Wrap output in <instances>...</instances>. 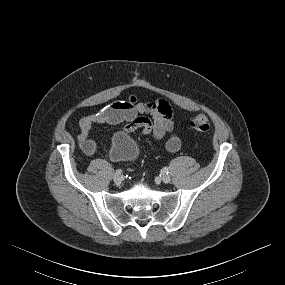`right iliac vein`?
Listing matches in <instances>:
<instances>
[{
  "instance_id": "63e3f726",
  "label": "right iliac vein",
  "mask_w": 285,
  "mask_h": 285,
  "mask_svg": "<svg viewBox=\"0 0 285 285\" xmlns=\"http://www.w3.org/2000/svg\"><path fill=\"white\" fill-rule=\"evenodd\" d=\"M113 180H114V182H115L116 185H119V184H121V182H122V177H121L120 175H117V174H116V175L114 176Z\"/></svg>"
}]
</instances>
